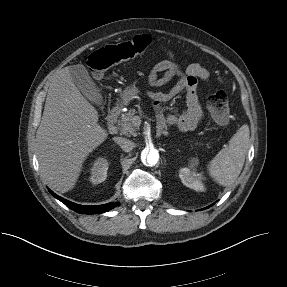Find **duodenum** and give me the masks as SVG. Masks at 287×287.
Here are the masks:
<instances>
[{"mask_svg": "<svg viewBox=\"0 0 287 287\" xmlns=\"http://www.w3.org/2000/svg\"><path fill=\"white\" fill-rule=\"evenodd\" d=\"M121 111H122V105L120 104H117L114 107H112L107 117L108 125H112L116 121Z\"/></svg>", "mask_w": 287, "mask_h": 287, "instance_id": "410a0bca", "label": "duodenum"}]
</instances>
